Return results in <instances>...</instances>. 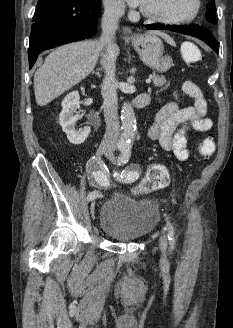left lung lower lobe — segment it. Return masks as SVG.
I'll return each mask as SVG.
<instances>
[{"label":"left lung lower lobe","instance_id":"0a47b994","mask_svg":"<svg viewBox=\"0 0 233 328\" xmlns=\"http://www.w3.org/2000/svg\"><path fill=\"white\" fill-rule=\"evenodd\" d=\"M147 29L150 30H170L173 32L190 35L206 42L216 53H219V45L214 36L206 29L194 25H161L149 24Z\"/></svg>","mask_w":233,"mask_h":328}]
</instances>
